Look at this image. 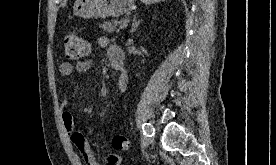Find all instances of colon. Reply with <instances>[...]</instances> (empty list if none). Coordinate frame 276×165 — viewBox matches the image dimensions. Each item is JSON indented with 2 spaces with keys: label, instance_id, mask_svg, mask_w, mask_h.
<instances>
[{
  "label": "colon",
  "instance_id": "obj_1",
  "mask_svg": "<svg viewBox=\"0 0 276 165\" xmlns=\"http://www.w3.org/2000/svg\"><path fill=\"white\" fill-rule=\"evenodd\" d=\"M65 58L67 62L78 61L88 51L87 42L75 31H69L64 37ZM112 147L116 151H123L129 148V140L123 135H116L112 138Z\"/></svg>",
  "mask_w": 276,
  "mask_h": 165
}]
</instances>
